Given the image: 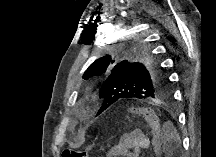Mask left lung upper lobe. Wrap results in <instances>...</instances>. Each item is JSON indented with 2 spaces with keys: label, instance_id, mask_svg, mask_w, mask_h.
I'll use <instances>...</instances> for the list:
<instances>
[{
  "label": "left lung upper lobe",
  "instance_id": "1",
  "mask_svg": "<svg viewBox=\"0 0 216 157\" xmlns=\"http://www.w3.org/2000/svg\"><path fill=\"white\" fill-rule=\"evenodd\" d=\"M112 49L95 60L84 72L83 79L107 77L100 89L103 103L111 104L124 99L154 100L166 98L170 81L156 59L145 55L144 43H131V39H114Z\"/></svg>",
  "mask_w": 216,
  "mask_h": 157
}]
</instances>
